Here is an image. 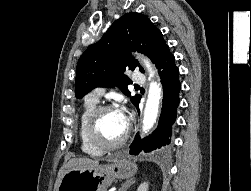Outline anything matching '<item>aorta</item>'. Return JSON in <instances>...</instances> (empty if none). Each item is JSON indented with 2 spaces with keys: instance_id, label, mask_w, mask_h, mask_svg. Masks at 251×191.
<instances>
[{
  "instance_id": "1",
  "label": "aorta",
  "mask_w": 251,
  "mask_h": 191,
  "mask_svg": "<svg viewBox=\"0 0 251 191\" xmlns=\"http://www.w3.org/2000/svg\"><path fill=\"white\" fill-rule=\"evenodd\" d=\"M143 64L145 68H147L150 78H153L154 72L150 66V62H148V60H143ZM161 94L162 88L160 84H157V82H151L143 115L142 129L145 133H147L148 129L153 127L157 119Z\"/></svg>"
}]
</instances>
